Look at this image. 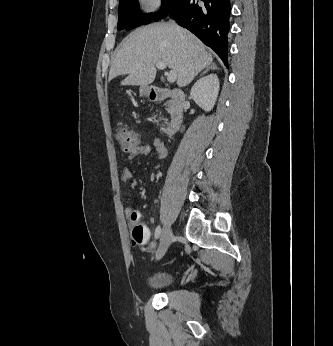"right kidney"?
I'll return each instance as SVG.
<instances>
[{
	"label": "right kidney",
	"instance_id": "ca27d5eb",
	"mask_svg": "<svg viewBox=\"0 0 333 346\" xmlns=\"http://www.w3.org/2000/svg\"><path fill=\"white\" fill-rule=\"evenodd\" d=\"M219 93V79L210 74L199 79L192 87L190 95L195 103L206 112L213 109Z\"/></svg>",
	"mask_w": 333,
	"mask_h": 346
}]
</instances>
